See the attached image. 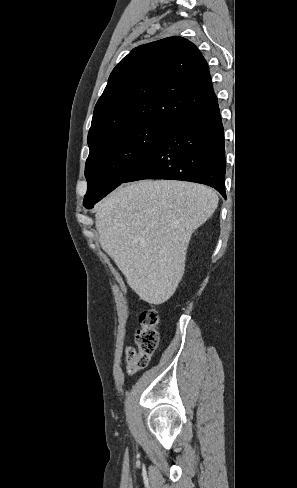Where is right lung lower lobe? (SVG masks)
<instances>
[{
	"instance_id": "right-lung-lower-lobe-1",
	"label": "right lung lower lobe",
	"mask_w": 297,
	"mask_h": 488,
	"mask_svg": "<svg viewBox=\"0 0 297 488\" xmlns=\"http://www.w3.org/2000/svg\"><path fill=\"white\" fill-rule=\"evenodd\" d=\"M224 131L217 99L171 125L123 181L184 180L225 194Z\"/></svg>"
}]
</instances>
